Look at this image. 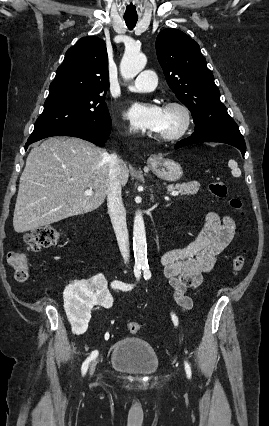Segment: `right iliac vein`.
<instances>
[{
  "instance_id": "1",
  "label": "right iliac vein",
  "mask_w": 269,
  "mask_h": 426,
  "mask_svg": "<svg viewBox=\"0 0 269 426\" xmlns=\"http://www.w3.org/2000/svg\"><path fill=\"white\" fill-rule=\"evenodd\" d=\"M96 364H97V359H95L90 365V370H89L90 375H93L96 368Z\"/></svg>"
}]
</instances>
